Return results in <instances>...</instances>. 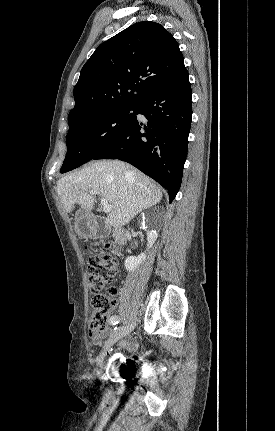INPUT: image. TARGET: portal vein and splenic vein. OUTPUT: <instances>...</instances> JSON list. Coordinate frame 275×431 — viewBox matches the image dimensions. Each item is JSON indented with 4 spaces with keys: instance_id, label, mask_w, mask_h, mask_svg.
<instances>
[{
    "instance_id": "obj_1",
    "label": "portal vein and splenic vein",
    "mask_w": 275,
    "mask_h": 431,
    "mask_svg": "<svg viewBox=\"0 0 275 431\" xmlns=\"http://www.w3.org/2000/svg\"><path fill=\"white\" fill-rule=\"evenodd\" d=\"M89 193L95 195L97 194V191L91 190ZM101 205L103 207V211L106 213H109L112 210L111 205L104 198H101Z\"/></svg>"
}]
</instances>
